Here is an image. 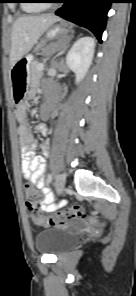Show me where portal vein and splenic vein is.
<instances>
[{
  "label": "portal vein and splenic vein",
  "mask_w": 136,
  "mask_h": 296,
  "mask_svg": "<svg viewBox=\"0 0 136 296\" xmlns=\"http://www.w3.org/2000/svg\"><path fill=\"white\" fill-rule=\"evenodd\" d=\"M43 69H44L43 65H39V66H38V70L41 71V70H43Z\"/></svg>",
  "instance_id": "18ae733b"
}]
</instances>
